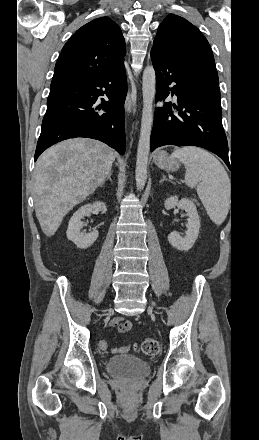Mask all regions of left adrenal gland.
Here are the masks:
<instances>
[{
  "label": "left adrenal gland",
  "mask_w": 259,
  "mask_h": 440,
  "mask_svg": "<svg viewBox=\"0 0 259 440\" xmlns=\"http://www.w3.org/2000/svg\"><path fill=\"white\" fill-rule=\"evenodd\" d=\"M163 177H162V179L160 180V182H163V181H170V180H168L167 178H166V176L163 174L162 175Z\"/></svg>",
  "instance_id": "a2214340"
}]
</instances>
